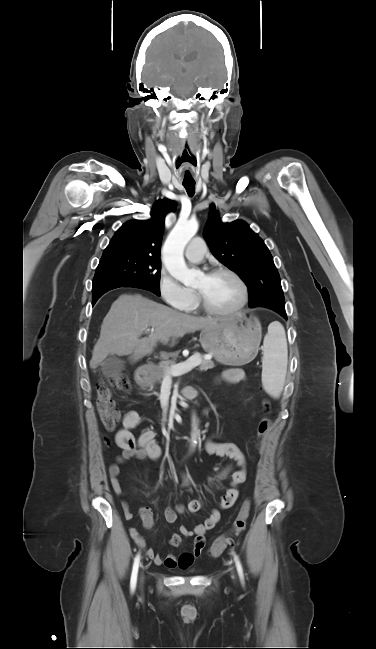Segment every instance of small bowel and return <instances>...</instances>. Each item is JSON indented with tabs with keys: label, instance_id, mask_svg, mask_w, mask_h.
I'll list each match as a JSON object with an SVG mask.
<instances>
[{
	"label": "small bowel",
	"instance_id": "1",
	"mask_svg": "<svg viewBox=\"0 0 376 649\" xmlns=\"http://www.w3.org/2000/svg\"><path fill=\"white\" fill-rule=\"evenodd\" d=\"M221 379L228 383H237L245 379L242 370L232 368L224 371L221 374ZM186 393L189 398L196 396L197 392L194 388L188 387ZM141 423V417L138 412L131 410L125 413L122 422V428L115 434V443L122 450L121 455L117 458L116 462L109 466L108 474L113 491L117 495L122 494V486L119 479L121 472V463L130 458L157 460L161 455V448L155 441V432L152 430L144 431L138 438L134 436L132 430L137 428ZM205 450L208 454L216 455L219 457H228L232 462L236 463L240 469L236 470L231 478V487L227 490L226 494L220 501V507L223 509L231 507L238 497V487L246 479V471L244 469L245 460L241 450L234 443L230 442H215L207 440L205 442ZM233 470V464L227 466L219 474V478L226 477ZM191 478L189 475H183V485H189ZM201 504L198 500H192L187 505H177L175 507H168L165 510V519L168 523H175L178 519V514L184 512L199 511ZM123 514L126 520H132L134 515L126 501L122 502ZM139 515L143 521L145 528L150 529L153 526V514L150 508L141 507ZM220 520V513L218 510H212L205 520L198 524L194 529H189L186 526L179 528L180 534H174L169 540V544L173 547H178L182 542V536L194 537L193 549L189 552H184L180 555L170 553L162 556L156 553L154 549L147 548L146 543L138 529L130 528V536L135 541L138 547L143 549L147 556L158 566L167 568H189L194 561L201 555L205 546V533L215 527Z\"/></svg>",
	"mask_w": 376,
	"mask_h": 649
}]
</instances>
